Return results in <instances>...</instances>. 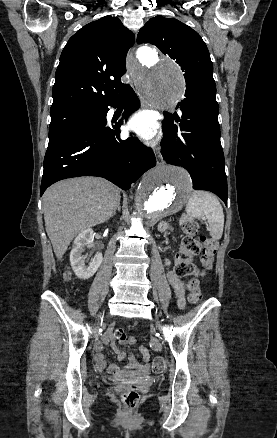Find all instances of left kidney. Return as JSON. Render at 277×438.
<instances>
[{
    "instance_id": "5707ae66",
    "label": "left kidney",
    "mask_w": 277,
    "mask_h": 438,
    "mask_svg": "<svg viewBox=\"0 0 277 438\" xmlns=\"http://www.w3.org/2000/svg\"><path fill=\"white\" fill-rule=\"evenodd\" d=\"M168 228H170L168 222H160V224H158L159 232H165ZM170 230H173V228H170Z\"/></svg>"
}]
</instances>
